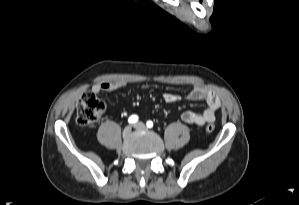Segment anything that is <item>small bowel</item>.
I'll return each mask as SVG.
<instances>
[{
  "label": "small bowel",
  "instance_id": "obj_1",
  "mask_svg": "<svg viewBox=\"0 0 299 205\" xmlns=\"http://www.w3.org/2000/svg\"><path fill=\"white\" fill-rule=\"evenodd\" d=\"M123 82L104 81L95 84L91 88V92L95 95L101 92H109L124 87ZM181 96L177 93L168 92L163 95L166 103H175L179 101ZM188 98L193 101H205L206 108L203 112L185 111L182 114V120L191 125L203 126L206 123L215 121L216 113L221 106V101L216 92L206 88L201 84H195L188 94Z\"/></svg>",
  "mask_w": 299,
  "mask_h": 205
}]
</instances>
